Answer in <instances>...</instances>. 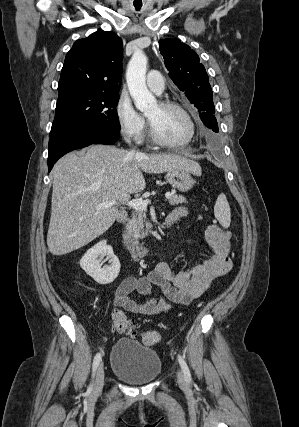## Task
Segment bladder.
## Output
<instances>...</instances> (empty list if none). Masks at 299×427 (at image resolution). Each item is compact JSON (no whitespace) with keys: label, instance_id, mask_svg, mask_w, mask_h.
<instances>
[{"label":"bladder","instance_id":"31cf9c89","mask_svg":"<svg viewBox=\"0 0 299 427\" xmlns=\"http://www.w3.org/2000/svg\"><path fill=\"white\" fill-rule=\"evenodd\" d=\"M112 373L131 384H145L161 372V359L150 348L130 338L118 340L111 350Z\"/></svg>","mask_w":299,"mask_h":427}]
</instances>
